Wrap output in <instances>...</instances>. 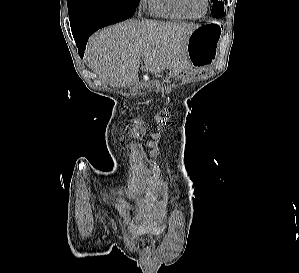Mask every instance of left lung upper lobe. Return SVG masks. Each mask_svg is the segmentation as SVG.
<instances>
[{
    "mask_svg": "<svg viewBox=\"0 0 299 273\" xmlns=\"http://www.w3.org/2000/svg\"><path fill=\"white\" fill-rule=\"evenodd\" d=\"M212 3H213V7L211 10L212 16L216 18L225 16L226 13L223 10L224 2H222L221 0H212Z\"/></svg>",
    "mask_w": 299,
    "mask_h": 273,
    "instance_id": "5c2ea615",
    "label": "left lung upper lobe"
}]
</instances>
